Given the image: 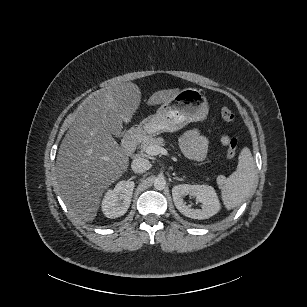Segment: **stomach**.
I'll return each instance as SVG.
<instances>
[{
    "instance_id": "1",
    "label": "stomach",
    "mask_w": 307,
    "mask_h": 307,
    "mask_svg": "<svg viewBox=\"0 0 307 307\" xmlns=\"http://www.w3.org/2000/svg\"><path fill=\"white\" fill-rule=\"evenodd\" d=\"M208 112L206 98L194 88H184L145 118L140 127L155 136L163 132H176L190 122L198 121Z\"/></svg>"
}]
</instances>
